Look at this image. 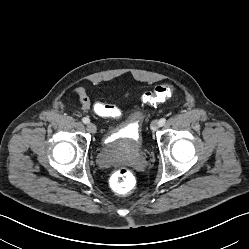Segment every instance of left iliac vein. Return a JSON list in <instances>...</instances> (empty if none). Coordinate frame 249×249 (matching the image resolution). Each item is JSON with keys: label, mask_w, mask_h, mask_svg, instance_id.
<instances>
[{"label": "left iliac vein", "mask_w": 249, "mask_h": 249, "mask_svg": "<svg viewBox=\"0 0 249 249\" xmlns=\"http://www.w3.org/2000/svg\"><path fill=\"white\" fill-rule=\"evenodd\" d=\"M158 127H159V124H158L157 121L151 122L150 129H151L152 132H155L158 129Z\"/></svg>", "instance_id": "left-iliac-vein-1"}]
</instances>
